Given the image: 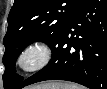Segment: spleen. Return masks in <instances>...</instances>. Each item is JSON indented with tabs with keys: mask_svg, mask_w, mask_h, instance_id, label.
Returning <instances> with one entry per match:
<instances>
[{
	"mask_svg": "<svg viewBox=\"0 0 107 89\" xmlns=\"http://www.w3.org/2000/svg\"><path fill=\"white\" fill-rule=\"evenodd\" d=\"M61 89H82L79 85L74 84H63Z\"/></svg>",
	"mask_w": 107,
	"mask_h": 89,
	"instance_id": "obj_1",
	"label": "spleen"
}]
</instances>
